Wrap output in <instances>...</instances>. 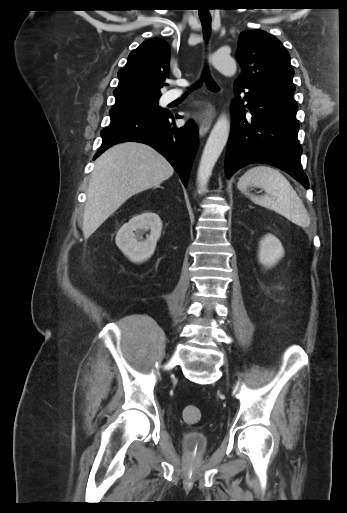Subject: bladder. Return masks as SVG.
Instances as JSON below:
<instances>
[{
  "mask_svg": "<svg viewBox=\"0 0 347 513\" xmlns=\"http://www.w3.org/2000/svg\"><path fill=\"white\" fill-rule=\"evenodd\" d=\"M183 448L192 454H203L208 448V439L196 431H186L183 434Z\"/></svg>",
  "mask_w": 347,
  "mask_h": 513,
  "instance_id": "31cf9c89",
  "label": "bladder"
}]
</instances>
